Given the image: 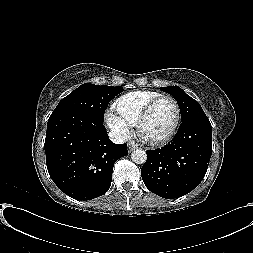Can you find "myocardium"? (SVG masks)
<instances>
[{
  "mask_svg": "<svg viewBox=\"0 0 253 253\" xmlns=\"http://www.w3.org/2000/svg\"><path fill=\"white\" fill-rule=\"evenodd\" d=\"M163 100H170L173 103L175 107V111H176L175 122L171 130L164 137L159 138V139H149L142 134L143 125L145 124L147 119L150 117L154 108ZM180 121H181V109H180V105L178 101L170 95H162L152 100L140 114L136 123L137 135L143 142L147 143L150 146H162V145L167 144L175 136L179 128Z\"/></svg>",
  "mask_w": 253,
  "mask_h": 253,
  "instance_id": "myocardium-1",
  "label": "myocardium"
}]
</instances>
